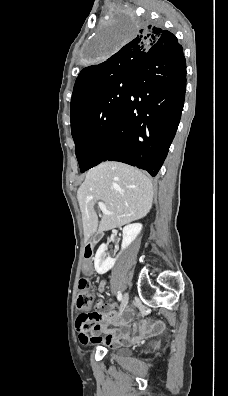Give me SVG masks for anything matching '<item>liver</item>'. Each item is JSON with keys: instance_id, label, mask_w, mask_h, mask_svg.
Masks as SVG:
<instances>
[{"instance_id": "1", "label": "liver", "mask_w": 228, "mask_h": 396, "mask_svg": "<svg viewBox=\"0 0 228 396\" xmlns=\"http://www.w3.org/2000/svg\"><path fill=\"white\" fill-rule=\"evenodd\" d=\"M87 243L102 233L145 217L152 208L153 185L140 170L120 162H104L91 168L77 191ZM102 201L113 215L99 222L94 205Z\"/></svg>"}]
</instances>
